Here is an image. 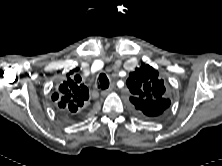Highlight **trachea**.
<instances>
[{"label": "trachea", "mask_w": 222, "mask_h": 166, "mask_svg": "<svg viewBox=\"0 0 222 166\" xmlns=\"http://www.w3.org/2000/svg\"><path fill=\"white\" fill-rule=\"evenodd\" d=\"M99 88L102 90L107 89L109 87V79L107 78L106 74L101 73L99 76Z\"/></svg>", "instance_id": "trachea-1"}]
</instances>
